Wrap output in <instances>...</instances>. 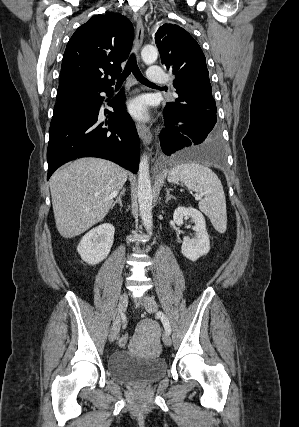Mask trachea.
I'll return each mask as SVG.
<instances>
[{"mask_svg": "<svg viewBox=\"0 0 299 427\" xmlns=\"http://www.w3.org/2000/svg\"><path fill=\"white\" fill-rule=\"evenodd\" d=\"M131 72L134 74V76L139 82L144 84H153L152 82L148 81L140 72L134 54L130 56L122 75L117 80V84H122Z\"/></svg>", "mask_w": 299, "mask_h": 427, "instance_id": "3493384b", "label": "trachea"}]
</instances>
